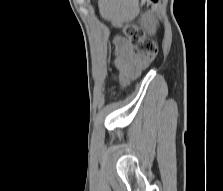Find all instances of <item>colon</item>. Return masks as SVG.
Instances as JSON below:
<instances>
[{"instance_id":"colon-1","label":"colon","mask_w":223,"mask_h":191,"mask_svg":"<svg viewBox=\"0 0 223 191\" xmlns=\"http://www.w3.org/2000/svg\"><path fill=\"white\" fill-rule=\"evenodd\" d=\"M155 2L156 0H148L150 4ZM123 33L135 51L143 56L144 62L142 68L147 67L155 60L158 54V48L153 40L145 36L141 28L135 24H126L123 26Z\"/></svg>"}]
</instances>
